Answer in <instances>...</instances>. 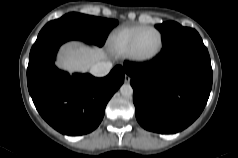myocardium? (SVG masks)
Instances as JSON below:
<instances>
[{
  "mask_svg": "<svg viewBox=\"0 0 238 158\" xmlns=\"http://www.w3.org/2000/svg\"><path fill=\"white\" fill-rule=\"evenodd\" d=\"M147 30H153L158 34L159 45H158L157 49L155 50V52H153L152 54L147 55V56H142L137 53L136 47H137V43H138L140 36ZM162 48H163V35H162L161 31L153 26H145L141 30H139L133 37L127 55L132 61L139 62V63H145V62L154 60L161 53Z\"/></svg>",
  "mask_w": 238,
  "mask_h": 158,
  "instance_id": "1",
  "label": "myocardium"
}]
</instances>
